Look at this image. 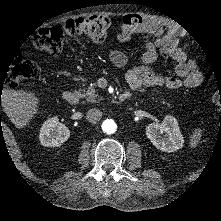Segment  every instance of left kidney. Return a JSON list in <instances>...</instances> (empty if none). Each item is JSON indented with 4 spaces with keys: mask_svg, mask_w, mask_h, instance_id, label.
<instances>
[{
    "mask_svg": "<svg viewBox=\"0 0 221 221\" xmlns=\"http://www.w3.org/2000/svg\"><path fill=\"white\" fill-rule=\"evenodd\" d=\"M146 136L157 149L163 152H175L184 144L178 121L171 115H166L162 123L149 124L146 127Z\"/></svg>",
    "mask_w": 221,
    "mask_h": 221,
    "instance_id": "1",
    "label": "left kidney"
}]
</instances>
